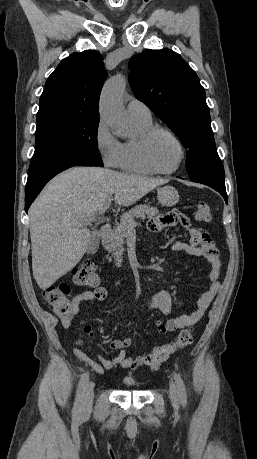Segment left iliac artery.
<instances>
[{
    "mask_svg": "<svg viewBox=\"0 0 257 459\" xmlns=\"http://www.w3.org/2000/svg\"><path fill=\"white\" fill-rule=\"evenodd\" d=\"M174 379L178 388V393L181 399V402L183 405H186L187 402V394H186V388L185 384L181 378V376L177 373H174Z\"/></svg>",
    "mask_w": 257,
    "mask_h": 459,
    "instance_id": "obj_1",
    "label": "left iliac artery"
}]
</instances>
